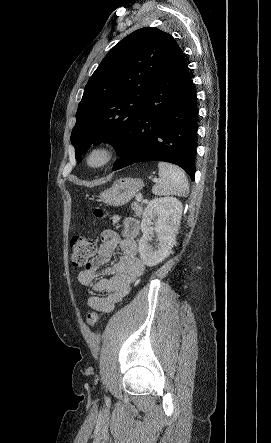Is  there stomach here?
I'll return each mask as SVG.
<instances>
[{
  "label": "stomach",
  "instance_id": "stomach-1",
  "mask_svg": "<svg viewBox=\"0 0 271 443\" xmlns=\"http://www.w3.org/2000/svg\"><path fill=\"white\" fill-rule=\"evenodd\" d=\"M143 186V180L139 178H120L114 182L112 188L101 192L100 202L107 206H124L138 194L139 190H142Z\"/></svg>",
  "mask_w": 271,
  "mask_h": 443
}]
</instances>
